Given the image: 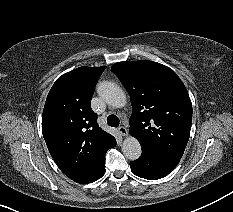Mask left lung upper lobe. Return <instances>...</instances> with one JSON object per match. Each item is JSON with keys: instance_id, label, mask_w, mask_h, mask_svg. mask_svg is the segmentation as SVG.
I'll list each match as a JSON object with an SVG mask.
<instances>
[{"instance_id": "left-lung-upper-lobe-1", "label": "left lung upper lobe", "mask_w": 233, "mask_h": 212, "mask_svg": "<svg viewBox=\"0 0 233 212\" xmlns=\"http://www.w3.org/2000/svg\"><path fill=\"white\" fill-rule=\"evenodd\" d=\"M111 71L130 95V134L141 147L181 159L190 135L192 104L177 74L153 61L118 62Z\"/></svg>"}]
</instances>
